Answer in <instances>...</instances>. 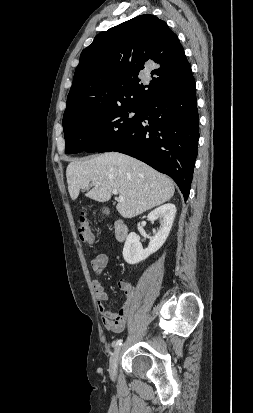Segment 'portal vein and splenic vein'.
I'll use <instances>...</instances> for the list:
<instances>
[{"instance_id":"1","label":"portal vein and splenic vein","mask_w":253,"mask_h":413,"mask_svg":"<svg viewBox=\"0 0 253 413\" xmlns=\"http://www.w3.org/2000/svg\"><path fill=\"white\" fill-rule=\"evenodd\" d=\"M112 193H113L114 195H117V194H118V190L114 189V190L112 191ZM124 199H125V198H124L123 196H121V195L119 196V200H120V201H124Z\"/></svg>"}]
</instances>
